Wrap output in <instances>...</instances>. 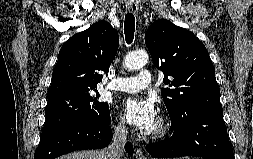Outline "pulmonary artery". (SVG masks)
<instances>
[{"instance_id": "e3ab8cb5", "label": "pulmonary artery", "mask_w": 253, "mask_h": 159, "mask_svg": "<svg viewBox=\"0 0 253 159\" xmlns=\"http://www.w3.org/2000/svg\"><path fill=\"white\" fill-rule=\"evenodd\" d=\"M150 72L142 70L135 77H116L109 88L121 92H138L152 85Z\"/></svg>"}]
</instances>
